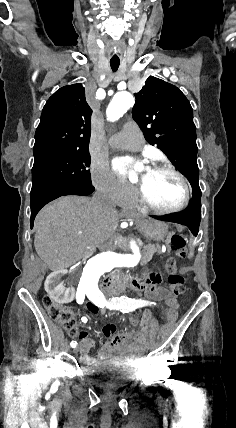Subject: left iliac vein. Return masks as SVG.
<instances>
[{
	"mask_svg": "<svg viewBox=\"0 0 236 428\" xmlns=\"http://www.w3.org/2000/svg\"><path fill=\"white\" fill-rule=\"evenodd\" d=\"M147 342L150 343V345H155V340H152L151 338H148Z\"/></svg>",
	"mask_w": 236,
	"mask_h": 428,
	"instance_id": "4c4485c4",
	"label": "left iliac vein"
}]
</instances>
